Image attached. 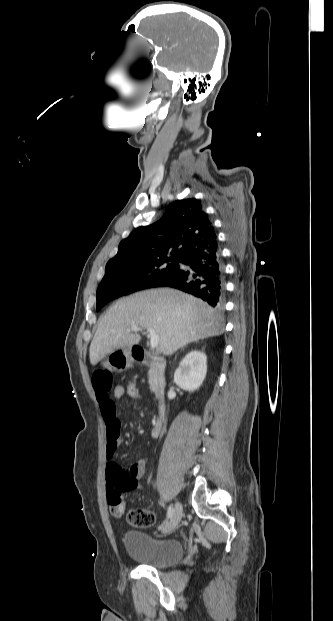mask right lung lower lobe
Listing matches in <instances>:
<instances>
[{
  "mask_svg": "<svg viewBox=\"0 0 333 621\" xmlns=\"http://www.w3.org/2000/svg\"><path fill=\"white\" fill-rule=\"evenodd\" d=\"M181 263L189 269H178L160 286H168L199 297L212 307H223L225 269L217 243L202 251L184 256Z\"/></svg>",
  "mask_w": 333,
  "mask_h": 621,
  "instance_id": "right-lung-lower-lobe-1",
  "label": "right lung lower lobe"
}]
</instances>
